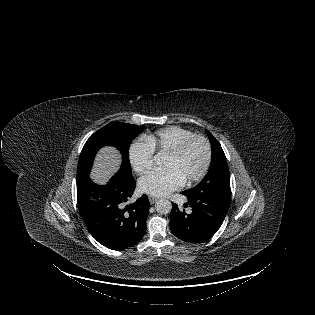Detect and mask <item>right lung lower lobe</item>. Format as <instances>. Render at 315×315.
<instances>
[{
	"label": "right lung lower lobe",
	"instance_id": "right-lung-lower-lobe-1",
	"mask_svg": "<svg viewBox=\"0 0 315 315\" xmlns=\"http://www.w3.org/2000/svg\"><path fill=\"white\" fill-rule=\"evenodd\" d=\"M135 189L134 178L115 174L106 185L88 176L77 178L79 212L92 236L112 250L137 244L146 232L150 203L146 195L127 204Z\"/></svg>",
	"mask_w": 315,
	"mask_h": 315
}]
</instances>
